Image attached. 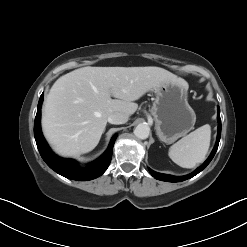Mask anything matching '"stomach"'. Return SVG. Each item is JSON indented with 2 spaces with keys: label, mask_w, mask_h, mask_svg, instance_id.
I'll return each instance as SVG.
<instances>
[{
  "label": "stomach",
  "mask_w": 247,
  "mask_h": 247,
  "mask_svg": "<svg viewBox=\"0 0 247 247\" xmlns=\"http://www.w3.org/2000/svg\"><path fill=\"white\" fill-rule=\"evenodd\" d=\"M188 84L180 80L165 81L154 89L155 101L150 110L156 134L164 143H173L190 132L196 115L187 101Z\"/></svg>",
  "instance_id": "stomach-1"
}]
</instances>
